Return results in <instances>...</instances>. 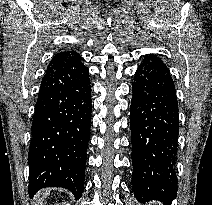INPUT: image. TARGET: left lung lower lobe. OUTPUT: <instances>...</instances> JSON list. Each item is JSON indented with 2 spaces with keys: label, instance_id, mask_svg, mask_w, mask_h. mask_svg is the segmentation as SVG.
Masks as SVG:
<instances>
[{
  "label": "left lung lower lobe",
  "instance_id": "left-lung-lower-lobe-1",
  "mask_svg": "<svg viewBox=\"0 0 212 205\" xmlns=\"http://www.w3.org/2000/svg\"><path fill=\"white\" fill-rule=\"evenodd\" d=\"M130 108L134 194L141 202L171 205L178 189V103L169 69L156 55L147 54L138 66Z\"/></svg>",
  "mask_w": 212,
  "mask_h": 205
}]
</instances>
